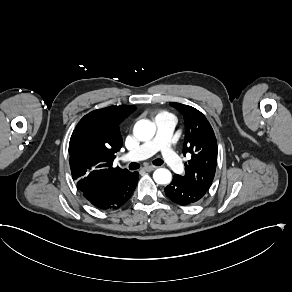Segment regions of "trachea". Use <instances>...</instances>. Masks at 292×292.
Returning a JSON list of instances; mask_svg holds the SVG:
<instances>
[{
    "instance_id": "1",
    "label": "trachea",
    "mask_w": 292,
    "mask_h": 292,
    "mask_svg": "<svg viewBox=\"0 0 292 292\" xmlns=\"http://www.w3.org/2000/svg\"><path fill=\"white\" fill-rule=\"evenodd\" d=\"M152 163L156 166H160L163 164V160L158 158V159L153 160ZM140 166H141L140 163L132 162L129 164L128 167L130 170H136L140 168Z\"/></svg>"
}]
</instances>
